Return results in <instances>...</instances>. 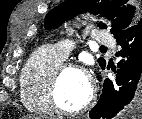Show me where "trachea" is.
<instances>
[{"label":"trachea","mask_w":142,"mask_h":119,"mask_svg":"<svg viewBox=\"0 0 142 119\" xmlns=\"http://www.w3.org/2000/svg\"><path fill=\"white\" fill-rule=\"evenodd\" d=\"M100 49H107L105 46H101Z\"/></svg>","instance_id":"trachea-1"}]
</instances>
